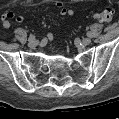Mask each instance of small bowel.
Instances as JSON below:
<instances>
[{
  "label": "small bowel",
  "mask_w": 119,
  "mask_h": 119,
  "mask_svg": "<svg viewBox=\"0 0 119 119\" xmlns=\"http://www.w3.org/2000/svg\"><path fill=\"white\" fill-rule=\"evenodd\" d=\"M56 8L58 9L60 15L62 16H71L73 15V11L71 9H68L65 7V5L58 1L55 3ZM15 18L16 21L22 22L23 21V16H15V14L11 11H5L2 15V25L4 28H9L11 26V19ZM48 39L51 41L53 39V35L49 34Z\"/></svg>",
  "instance_id": "obj_1"
}]
</instances>
